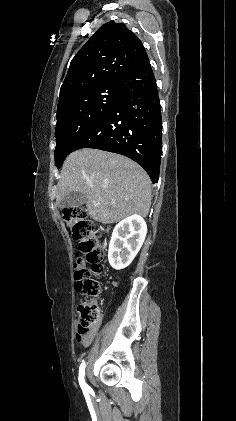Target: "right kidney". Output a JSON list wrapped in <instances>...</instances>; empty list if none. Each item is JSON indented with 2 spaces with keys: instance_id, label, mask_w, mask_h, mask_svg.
<instances>
[{
  "instance_id": "1",
  "label": "right kidney",
  "mask_w": 236,
  "mask_h": 421,
  "mask_svg": "<svg viewBox=\"0 0 236 421\" xmlns=\"http://www.w3.org/2000/svg\"><path fill=\"white\" fill-rule=\"evenodd\" d=\"M147 225L139 215H131L116 225L108 251V261L116 271L125 269L140 251L146 237Z\"/></svg>"
}]
</instances>
